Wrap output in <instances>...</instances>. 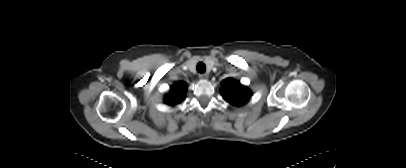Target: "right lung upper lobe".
Here are the masks:
<instances>
[{"label": "right lung upper lobe", "instance_id": "cb5924a9", "mask_svg": "<svg viewBox=\"0 0 406 168\" xmlns=\"http://www.w3.org/2000/svg\"><path fill=\"white\" fill-rule=\"evenodd\" d=\"M187 90V84L184 82H176L172 87H171V93L170 95H167L165 97V103L169 105H174L182 102L185 97V93Z\"/></svg>", "mask_w": 406, "mask_h": 168}]
</instances>
